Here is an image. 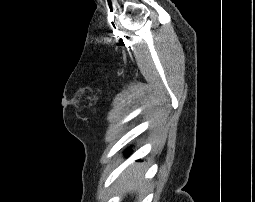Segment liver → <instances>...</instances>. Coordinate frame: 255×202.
I'll return each mask as SVG.
<instances>
[{
	"instance_id": "1",
	"label": "liver",
	"mask_w": 255,
	"mask_h": 202,
	"mask_svg": "<svg viewBox=\"0 0 255 202\" xmlns=\"http://www.w3.org/2000/svg\"><path fill=\"white\" fill-rule=\"evenodd\" d=\"M142 172L138 166H132L122 173L119 180L122 183V190L126 192L135 191L141 186Z\"/></svg>"
}]
</instances>
